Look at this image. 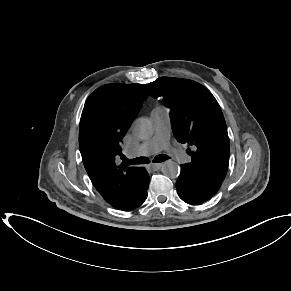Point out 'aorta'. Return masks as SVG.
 I'll return each instance as SVG.
<instances>
[{"label": "aorta", "mask_w": 291, "mask_h": 291, "mask_svg": "<svg viewBox=\"0 0 291 291\" xmlns=\"http://www.w3.org/2000/svg\"><path fill=\"white\" fill-rule=\"evenodd\" d=\"M132 132L134 136L140 139H147L153 134L152 123L146 118H139L134 121L132 125ZM162 173L173 179L179 176L180 167L176 162L167 160L162 166Z\"/></svg>", "instance_id": "obj_1"}]
</instances>
